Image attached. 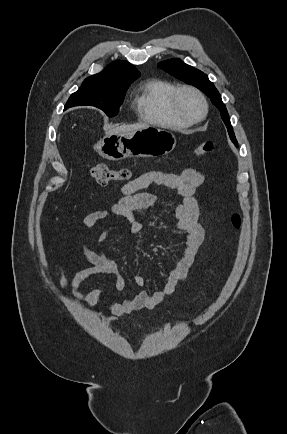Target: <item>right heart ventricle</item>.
Here are the masks:
<instances>
[{"mask_svg": "<svg viewBox=\"0 0 287 434\" xmlns=\"http://www.w3.org/2000/svg\"><path fill=\"white\" fill-rule=\"evenodd\" d=\"M176 86L161 79L143 82L136 95V107L141 118L163 127H186L171 112L169 99Z\"/></svg>", "mask_w": 287, "mask_h": 434, "instance_id": "1", "label": "right heart ventricle"}]
</instances>
